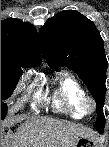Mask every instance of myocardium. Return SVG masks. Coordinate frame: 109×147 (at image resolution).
Masks as SVG:
<instances>
[{
	"label": "myocardium",
	"mask_w": 109,
	"mask_h": 147,
	"mask_svg": "<svg viewBox=\"0 0 109 147\" xmlns=\"http://www.w3.org/2000/svg\"><path fill=\"white\" fill-rule=\"evenodd\" d=\"M84 109L88 112H94L96 110V101L92 96L86 95L83 99Z\"/></svg>",
	"instance_id": "myocardium-1"
}]
</instances>
